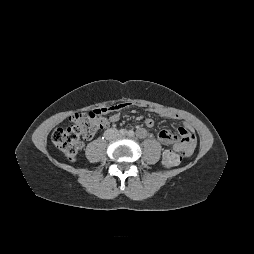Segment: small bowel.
Listing matches in <instances>:
<instances>
[{
	"label": "small bowel",
	"instance_id": "small-bowel-1",
	"mask_svg": "<svg viewBox=\"0 0 254 254\" xmlns=\"http://www.w3.org/2000/svg\"><path fill=\"white\" fill-rule=\"evenodd\" d=\"M130 106L129 103H121L115 106L106 107V111L103 114L112 113L109 117H101L100 126L98 129H105L110 127L112 124L116 123L119 120L120 117V111L128 108ZM156 112L168 119H179L180 116L174 112L165 110V109H157ZM154 120L152 118H146L144 120V126L146 128H152L154 127ZM178 135L180 139L177 138L176 135H174L169 130H161L158 133V139L159 141L167 146H170V149L166 150L163 153V164L167 167V165L164 163L165 157L169 153H180L183 157H190L193 152L196 145V136L194 134V131L192 127L185 123L183 126L178 128Z\"/></svg>",
	"mask_w": 254,
	"mask_h": 254
}]
</instances>
